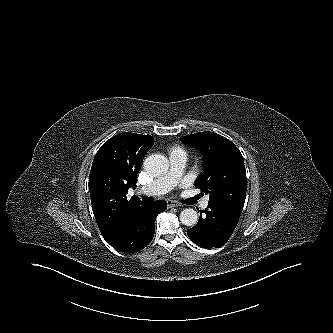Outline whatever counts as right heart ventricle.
<instances>
[{
	"instance_id": "right-heart-ventricle-1",
	"label": "right heart ventricle",
	"mask_w": 333,
	"mask_h": 333,
	"mask_svg": "<svg viewBox=\"0 0 333 333\" xmlns=\"http://www.w3.org/2000/svg\"><path fill=\"white\" fill-rule=\"evenodd\" d=\"M175 152H182V153L186 154V152H185L182 148H180V147H178V146L172 148V150H171V154H172V153H175Z\"/></svg>"
}]
</instances>
